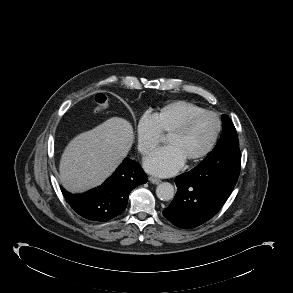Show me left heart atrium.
I'll return each mask as SVG.
<instances>
[{
	"instance_id": "obj_1",
	"label": "left heart atrium",
	"mask_w": 293,
	"mask_h": 293,
	"mask_svg": "<svg viewBox=\"0 0 293 293\" xmlns=\"http://www.w3.org/2000/svg\"><path fill=\"white\" fill-rule=\"evenodd\" d=\"M184 163V158L175 147L166 146L146 157L144 167L151 174L167 177L178 172Z\"/></svg>"
}]
</instances>
